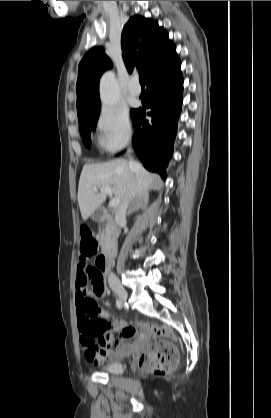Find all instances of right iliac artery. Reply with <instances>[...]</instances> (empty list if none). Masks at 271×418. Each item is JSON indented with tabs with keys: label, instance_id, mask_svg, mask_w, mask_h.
Listing matches in <instances>:
<instances>
[{
	"label": "right iliac artery",
	"instance_id": "right-iliac-artery-1",
	"mask_svg": "<svg viewBox=\"0 0 271 418\" xmlns=\"http://www.w3.org/2000/svg\"><path fill=\"white\" fill-rule=\"evenodd\" d=\"M116 306H117L118 309H122L123 304L120 300L117 299L116 300Z\"/></svg>",
	"mask_w": 271,
	"mask_h": 418
}]
</instances>
